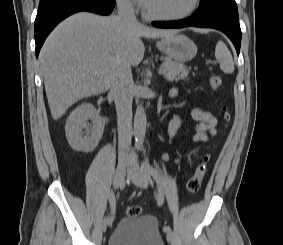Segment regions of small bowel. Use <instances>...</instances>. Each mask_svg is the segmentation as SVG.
I'll use <instances>...</instances> for the list:
<instances>
[{"label": "small bowel", "instance_id": "obj_1", "mask_svg": "<svg viewBox=\"0 0 283 245\" xmlns=\"http://www.w3.org/2000/svg\"><path fill=\"white\" fill-rule=\"evenodd\" d=\"M177 90L174 88L171 90V95H176ZM191 118L194 121L193 126V140L195 142H208L217 134L218 119L214 114L206 111L200 107H195L191 111ZM181 125V120L174 116L172 117L166 127V134L168 141L171 142L176 136L177 131ZM168 158L167 155L164 156Z\"/></svg>", "mask_w": 283, "mask_h": 245}]
</instances>
